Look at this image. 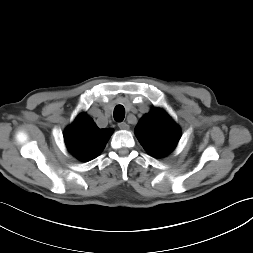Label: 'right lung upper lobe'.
<instances>
[{
    "label": "right lung upper lobe",
    "mask_w": 253,
    "mask_h": 253,
    "mask_svg": "<svg viewBox=\"0 0 253 253\" xmlns=\"http://www.w3.org/2000/svg\"><path fill=\"white\" fill-rule=\"evenodd\" d=\"M112 133L113 129H99L86 113H81L65 130L64 140L69 151L85 162L101 153Z\"/></svg>",
    "instance_id": "1"
}]
</instances>
